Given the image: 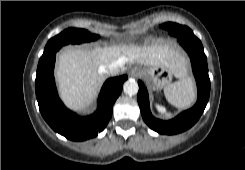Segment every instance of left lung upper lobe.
<instances>
[{"label":"left lung upper lobe","instance_id":"obj_1","mask_svg":"<svg viewBox=\"0 0 245 170\" xmlns=\"http://www.w3.org/2000/svg\"><path fill=\"white\" fill-rule=\"evenodd\" d=\"M161 27L167 29L169 34H171L177 38L182 37V33L185 31H188V33H190L194 39H198L193 34L192 30L186 26H182V25H179L176 23L168 22V23L162 24Z\"/></svg>","mask_w":245,"mask_h":170}]
</instances>
